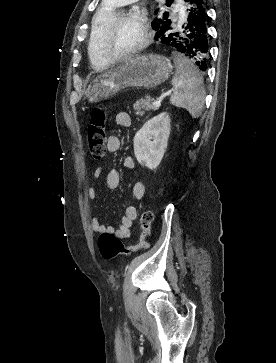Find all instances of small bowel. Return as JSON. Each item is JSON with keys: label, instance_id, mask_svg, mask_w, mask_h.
<instances>
[{"label": "small bowel", "instance_id": "1", "mask_svg": "<svg viewBox=\"0 0 276 363\" xmlns=\"http://www.w3.org/2000/svg\"><path fill=\"white\" fill-rule=\"evenodd\" d=\"M115 121L118 125L128 127L131 125V116L127 112H119L116 114ZM121 139L115 134H111L107 138V149L110 152H116L120 149ZM124 167L127 170H135L136 164L133 158L126 157L124 159ZM102 174V168L98 167L94 172V178L98 179ZM106 185L110 189L118 188L120 184V176L116 170H109L105 176ZM133 196L137 200H141L145 194V188L142 182L137 181L132 188ZM87 196L89 200L94 201L96 199V190L93 186L87 189ZM138 217V208L134 205H130L125 209L124 216L121 219V223L118 228L105 226L102 224L98 217L94 216L91 221V230L93 233H111L120 239L129 238L131 236V229L134 221Z\"/></svg>", "mask_w": 276, "mask_h": 363}]
</instances>
